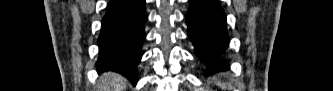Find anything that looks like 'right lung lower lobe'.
Masks as SVG:
<instances>
[{"instance_id": "obj_1", "label": "right lung lower lobe", "mask_w": 333, "mask_h": 91, "mask_svg": "<svg viewBox=\"0 0 333 91\" xmlns=\"http://www.w3.org/2000/svg\"><path fill=\"white\" fill-rule=\"evenodd\" d=\"M147 19L145 0H111L98 38V72L115 71L135 85Z\"/></svg>"}]
</instances>
